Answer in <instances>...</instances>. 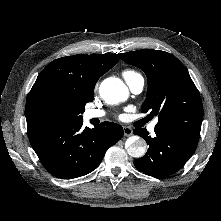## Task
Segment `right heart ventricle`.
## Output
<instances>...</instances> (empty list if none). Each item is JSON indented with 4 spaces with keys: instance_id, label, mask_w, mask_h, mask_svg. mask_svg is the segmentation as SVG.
Masks as SVG:
<instances>
[{
    "instance_id": "e07e8e85",
    "label": "right heart ventricle",
    "mask_w": 221,
    "mask_h": 221,
    "mask_svg": "<svg viewBox=\"0 0 221 221\" xmlns=\"http://www.w3.org/2000/svg\"><path fill=\"white\" fill-rule=\"evenodd\" d=\"M137 75H138V73H136L135 71H132V70H126L123 72V76H124L125 80H130Z\"/></svg>"
}]
</instances>
